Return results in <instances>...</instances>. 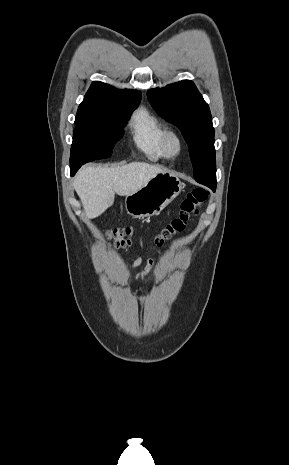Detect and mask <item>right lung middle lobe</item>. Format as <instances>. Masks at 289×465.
Listing matches in <instances>:
<instances>
[{"label":"right lung middle lobe","instance_id":"obj_1","mask_svg":"<svg viewBox=\"0 0 289 465\" xmlns=\"http://www.w3.org/2000/svg\"><path fill=\"white\" fill-rule=\"evenodd\" d=\"M140 101L120 102L108 108L106 117L101 122H75L70 163H87L92 160L111 156V149L123 135L132 111Z\"/></svg>","mask_w":289,"mask_h":465}]
</instances>
